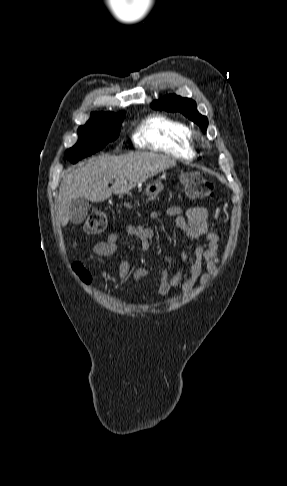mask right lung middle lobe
Wrapping results in <instances>:
<instances>
[{
    "mask_svg": "<svg viewBox=\"0 0 287 486\" xmlns=\"http://www.w3.org/2000/svg\"><path fill=\"white\" fill-rule=\"evenodd\" d=\"M124 116L125 114L92 113L86 125L79 127V140L75 146L66 151L67 159L74 164L101 150L108 142L114 141L119 135Z\"/></svg>",
    "mask_w": 287,
    "mask_h": 486,
    "instance_id": "obj_1",
    "label": "right lung middle lobe"
}]
</instances>
